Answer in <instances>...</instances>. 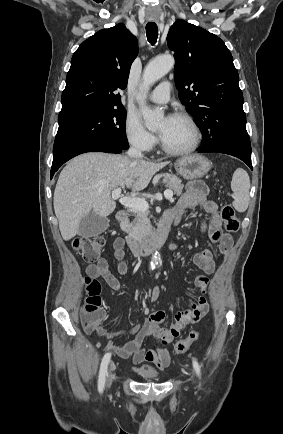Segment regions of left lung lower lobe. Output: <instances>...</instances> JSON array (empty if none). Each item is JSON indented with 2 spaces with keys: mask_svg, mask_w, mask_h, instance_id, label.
I'll list each match as a JSON object with an SVG mask.
<instances>
[{
  "mask_svg": "<svg viewBox=\"0 0 283 434\" xmlns=\"http://www.w3.org/2000/svg\"><path fill=\"white\" fill-rule=\"evenodd\" d=\"M199 152L200 153H205V152H210V151L201 148L199 150ZM235 157L241 159L243 162H245L250 167V169H253L252 168V163H251V157H243V156H235Z\"/></svg>",
  "mask_w": 283,
  "mask_h": 434,
  "instance_id": "obj_1",
  "label": "left lung lower lobe"
}]
</instances>
